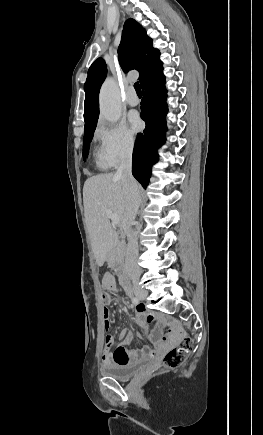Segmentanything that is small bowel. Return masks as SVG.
<instances>
[{"instance_id":"1","label":"small bowel","mask_w":263,"mask_h":435,"mask_svg":"<svg viewBox=\"0 0 263 435\" xmlns=\"http://www.w3.org/2000/svg\"><path fill=\"white\" fill-rule=\"evenodd\" d=\"M102 286L106 291L114 293L116 290V281L114 276L109 273L105 274L102 280ZM106 296L107 297L105 300H103V302L105 305H108L111 302V297L108 294H106ZM134 317L136 322L141 326H145L154 321H164V318L160 314L149 312L140 305L136 306ZM103 318L105 329L108 330L111 326V321L110 312L106 307L103 309ZM132 336L154 342L156 344V349H151L149 346H144L140 349H129L128 344L130 343ZM118 337L121 343L114 351L103 349L102 361L105 366H110L113 364H129L137 362L146 357L156 358L166 348L177 343L179 334L173 331L165 336H161L159 332L155 330L149 335H144L140 332L129 333L126 329H122L120 330Z\"/></svg>"}]
</instances>
